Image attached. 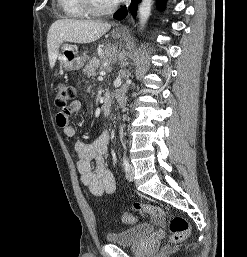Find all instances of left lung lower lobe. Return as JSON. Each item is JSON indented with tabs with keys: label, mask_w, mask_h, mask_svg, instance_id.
Instances as JSON below:
<instances>
[{
	"label": "left lung lower lobe",
	"mask_w": 247,
	"mask_h": 257,
	"mask_svg": "<svg viewBox=\"0 0 247 257\" xmlns=\"http://www.w3.org/2000/svg\"><path fill=\"white\" fill-rule=\"evenodd\" d=\"M138 1L139 0H132V3H131L132 14H135V12H136V7H137ZM157 2H158V6L160 8H162L164 6V3L166 2V0H157ZM126 15H127V9H126V7H123L114 14V18L120 20V19H123Z\"/></svg>",
	"instance_id": "1"
}]
</instances>
